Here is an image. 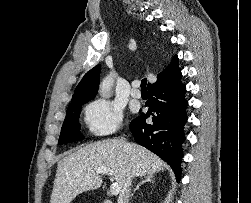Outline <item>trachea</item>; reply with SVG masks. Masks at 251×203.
I'll list each match as a JSON object with an SVG mask.
<instances>
[{
    "instance_id": "3493384b",
    "label": "trachea",
    "mask_w": 251,
    "mask_h": 203,
    "mask_svg": "<svg viewBox=\"0 0 251 203\" xmlns=\"http://www.w3.org/2000/svg\"><path fill=\"white\" fill-rule=\"evenodd\" d=\"M146 85H147V79L144 78V79H142V81H141V90L146 91V89H147Z\"/></svg>"
}]
</instances>
